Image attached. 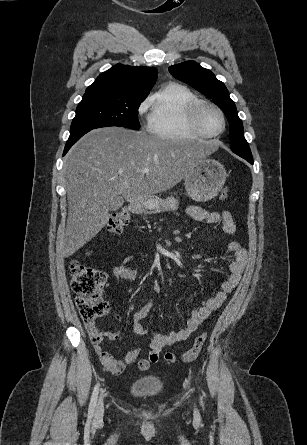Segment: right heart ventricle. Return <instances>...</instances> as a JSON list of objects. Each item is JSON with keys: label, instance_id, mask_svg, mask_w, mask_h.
<instances>
[{"label": "right heart ventricle", "instance_id": "obj_1", "mask_svg": "<svg viewBox=\"0 0 307 445\" xmlns=\"http://www.w3.org/2000/svg\"><path fill=\"white\" fill-rule=\"evenodd\" d=\"M197 97L186 87L170 84L158 86L145 100L152 106L150 131L163 140H200L191 111Z\"/></svg>", "mask_w": 307, "mask_h": 445}]
</instances>
